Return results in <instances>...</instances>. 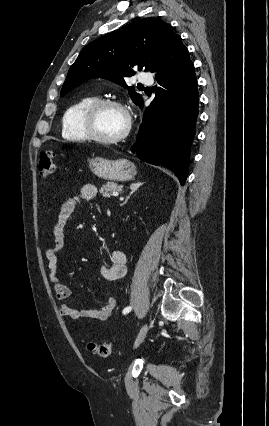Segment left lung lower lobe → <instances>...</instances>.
Instances as JSON below:
<instances>
[{"label": "left lung lower lobe", "instance_id": "left-lung-lower-lobe-1", "mask_svg": "<svg viewBox=\"0 0 269 426\" xmlns=\"http://www.w3.org/2000/svg\"><path fill=\"white\" fill-rule=\"evenodd\" d=\"M150 72L159 87L143 120L132 151L147 163L172 170L181 185L188 175L199 95L194 65L178 36ZM143 107V102L139 105Z\"/></svg>", "mask_w": 269, "mask_h": 426}]
</instances>
